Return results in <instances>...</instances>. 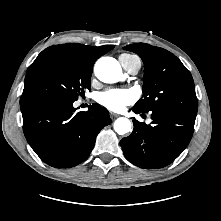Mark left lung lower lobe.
<instances>
[{"mask_svg": "<svg viewBox=\"0 0 221 221\" xmlns=\"http://www.w3.org/2000/svg\"><path fill=\"white\" fill-rule=\"evenodd\" d=\"M136 113L140 111L133 108ZM152 124L133 120L134 129L120 145L124 156L140 168H162L173 162L187 147L196 115L173 109L151 111Z\"/></svg>", "mask_w": 221, "mask_h": 221, "instance_id": "left-lung-lower-lobe-1", "label": "left lung lower lobe"}]
</instances>
